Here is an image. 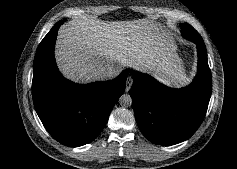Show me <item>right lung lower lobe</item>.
Instances as JSON below:
<instances>
[{
  "mask_svg": "<svg viewBox=\"0 0 237 169\" xmlns=\"http://www.w3.org/2000/svg\"><path fill=\"white\" fill-rule=\"evenodd\" d=\"M59 27L52 28L37 48L32 95L36 112L50 135L66 146L78 147L94 140L106 125L125 91L127 73L86 85L63 78L54 58Z\"/></svg>",
  "mask_w": 237,
  "mask_h": 169,
  "instance_id": "right-lung-lower-lobe-1",
  "label": "right lung lower lobe"
}]
</instances>
